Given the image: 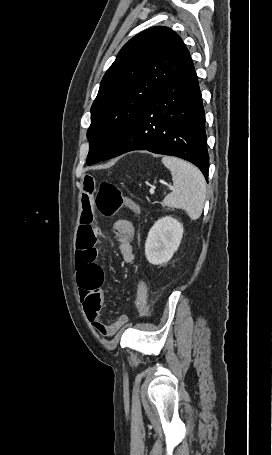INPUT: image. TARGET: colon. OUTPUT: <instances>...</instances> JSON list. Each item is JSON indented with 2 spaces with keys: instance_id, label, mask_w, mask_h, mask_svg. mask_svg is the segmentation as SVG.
<instances>
[{
  "instance_id": "1",
  "label": "colon",
  "mask_w": 272,
  "mask_h": 455,
  "mask_svg": "<svg viewBox=\"0 0 272 455\" xmlns=\"http://www.w3.org/2000/svg\"><path fill=\"white\" fill-rule=\"evenodd\" d=\"M95 201L98 211L106 217L114 216L122 207L133 212L138 211L136 204L125 197L115 184L107 180L99 184ZM135 304L141 315L147 313L148 285L145 278H142L138 283Z\"/></svg>"
}]
</instances>
